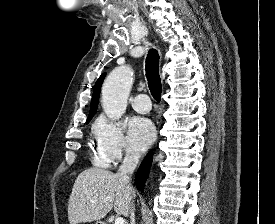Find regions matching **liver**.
Masks as SVG:
<instances>
[{"label": "liver", "instance_id": "1", "mask_svg": "<svg viewBox=\"0 0 275 224\" xmlns=\"http://www.w3.org/2000/svg\"><path fill=\"white\" fill-rule=\"evenodd\" d=\"M133 187L111 171L91 168L81 172L75 180L68 204L70 224L101 220L114 207L117 214L128 217Z\"/></svg>", "mask_w": 275, "mask_h": 224}]
</instances>
